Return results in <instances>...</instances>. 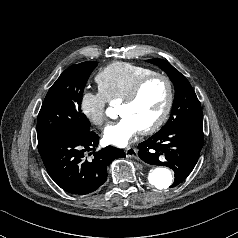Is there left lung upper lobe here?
I'll use <instances>...</instances> for the list:
<instances>
[{"label":"left lung upper lobe","mask_w":238,"mask_h":238,"mask_svg":"<svg viewBox=\"0 0 238 238\" xmlns=\"http://www.w3.org/2000/svg\"><path fill=\"white\" fill-rule=\"evenodd\" d=\"M147 61L164 70L175 87V97L170 118L159 131L169 130L185 123H203L200 102L185 76L165 60L152 59Z\"/></svg>","instance_id":"5c2ea615"}]
</instances>
